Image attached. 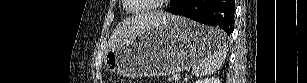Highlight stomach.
<instances>
[{"label":"stomach","mask_w":307,"mask_h":83,"mask_svg":"<svg viewBox=\"0 0 307 83\" xmlns=\"http://www.w3.org/2000/svg\"><path fill=\"white\" fill-rule=\"evenodd\" d=\"M211 44L210 28L173 16L140 36L112 46L104 63L120 76H166L193 67L208 54Z\"/></svg>","instance_id":"0dacf381"}]
</instances>
